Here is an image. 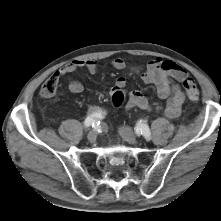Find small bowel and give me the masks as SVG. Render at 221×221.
<instances>
[{"mask_svg": "<svg viewBox=\"0 0 221 221\" xmlns=\"http://www.w3.org/2000/svg\"><path fill=\"white\" fill-rule=\"evenodd\" d=\"M112 66L117 70H124L127 65L122 58H115ZM78 68H85L90 74L98 72V63L94 60H77L67 64L57 70L53 76L56 78H65ZM188 77L186 71L177 63L166 59H153L148 62L145 71L142 73V80L145 84L153 85L159 98L166 100L165 113L169 118H177L182 110L186 99L183 89L173 81V78L179 82ZM126 80L124 77H118L111 90L112 94L117 89L124 90ZM67 88L71 93L78 94L83 91V85L77 80H69ZM126 108L128 110L138 108L149 111L151 104L149 100L139 91H131L128 94Z\"/></svg>", "mask_w": 221, "mask_h": 221, "instance_id": "1", "label": "small bowel"}]
</instances>
